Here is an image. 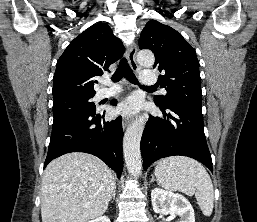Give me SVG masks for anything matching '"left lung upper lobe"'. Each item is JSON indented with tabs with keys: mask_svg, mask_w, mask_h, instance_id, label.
Listing matches in <instances>:
<instances>
[{
	"mask_svg": "<svg viewBox=\"0 0 257 222\" xmlns=\"http://www.w3.org/2000/svg\"><path fill=\"white\" fill-rule=\"evenodd\" d=\"M141 49H150L155 65L162 75L158 81L167 90L166 96H156L163 107L181 103L202 109L201 78L195 50L173 28L156 20L147 22L139 39Z\"/></svg>",
	"mask_w": 257,
	"mask_h": 222,
	"instance_id": "obj_1",
	"label": "left lung upper lobe"
}]
</instances>
